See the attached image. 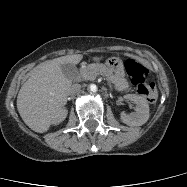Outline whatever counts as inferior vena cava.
Here are the masks:
<instances>
[{"label":"inferior vena cava","instance_id":"602c4592","mask_svg":"<svg viewBox=\"0 0 187 187\" xmlns=\"http://www.w3.org/2000/svg\"><path fill=\"white\" fill-rule=\"evenodd\" d=\"M81 89V85L80 84H72L69 90V94L70 95H74L77 94Z\"/></svg>","mask_w":187,"mask_h":187}]
</instances>
